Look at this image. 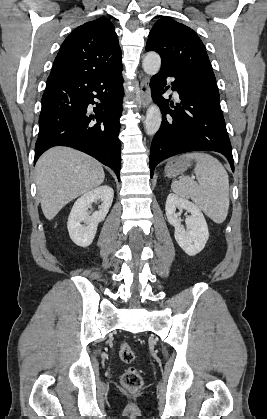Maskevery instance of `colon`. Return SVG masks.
Listing matches in <instances>:
<instances>
[{
	"label": "colon",
	"mask_w": 267,
	"mask_h": 419,
	"mask_svg": "<svg viewBox=\"0 0 267 419\" xmlns=\"http://www.w3.org/2000/svg\"><path fill=\"white\" fill-rule=\"evenodd\" d=\"M120 359L127 364H131L135 360V354L128 343H121L118 347ZM122 384L129 390H137L143 384V379L135 367H129L125 370L121 378Z\"/></svg>",
	"instance_id": "colon-1"
}]
</instances>
